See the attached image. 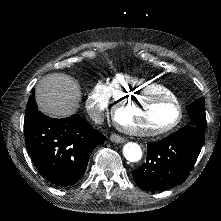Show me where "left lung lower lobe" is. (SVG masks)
I'll return each instance as SVG.
<instances>
[{"instance_id": "1", "label": "left lung lower lobe", "mask_w": 221, "mask_h": 221, "mask_svg": "<svg viewBox=\"0 0 221 221\" xmlns=\"http://www.w3.org/2000/svg\"><path fill=\"white\" fill-rule=\"evenodd\" d=\"M204 130L186 126L148 144L146 162L132 173L137 185L146 191H156L183 183L203 146Z\"/></svg>"}]
</instances>
